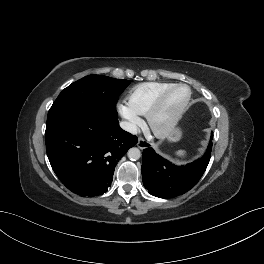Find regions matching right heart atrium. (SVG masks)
<instances>
[{
    "mask_svg": "<svg viewBox=\"0 0 264 264\" xmlns=\"http://www.w3.org/2000/svg\"><path fill=\"white\" fill-rule=\"evenodd\" d=\"M118 110L121 116L126 120L130 131H135L141 123V119L128 105L119 104Z\"/></svg>",
    "mask_w": 264,
    "mask_h": 264,
    "instance_id": "obj_1",
    "label": "right heart atrium"
}]
</instances>
